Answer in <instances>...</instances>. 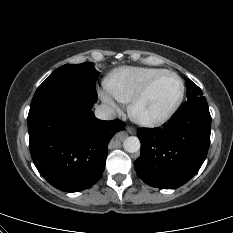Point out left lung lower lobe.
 Returning <instances> with one entry per match:
<instances>
[{
  "label": "left lung lower lobe",
  "mask_w": 233,
  "mask_h": 233,
  "mask_svg": "<svg viewBox=\"0 0 233 233\" xmlns=\"http://www.w3.org/2000/svg\"><path fill=\"white\" fill-rule=\"evenodd\" d=\"M210 132L211 116L203 96L188 100L163 128L140 129L141 155L134 162L138 176L161 189L184 185L207 156Z\"/></svg>",
  "instance_id": "obj_1"
}]
</instances>
